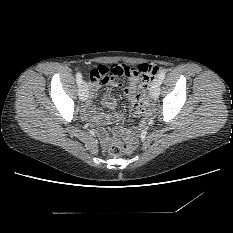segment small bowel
Returning a JSON list of instances; mask_svg holds the SVG:
<instances>
[{"mask_svg":"<svg viewBox=\"0 0 233 233\" xmlns=\"http://www.w3.org/2000/svg\"><path fill=\"white\" fill-rule=\"evenodd\" d=\"M102 66L106 67L110 72V79L105 82L107 88L103 97L102 104L107 109H114L117 106V101L112 96V89L114 87H121L123 85L120 79L121 77L124 76V69L121 64H111V65H102ZM99 85H100L99 82L91 83L89 103L85 107L84 116L88 119L97 122H110V121L118 120L119 118L122 117L123 113L118 112L114 114H105L102 110L97 109L96 105L93 103V100L97 96ZM147 85L148 83L146 82L142 83L138 78L129 77L128 85L123 90L125 95L132 104L133 118L139 117L143 113L147 105V102L142 104L138 100L139 93L145 92ZM141 129L142 127L140 125L135 126L128 131L115 129L111 135H108L103 131H101L100 132L101 141L103 143H111L119 140H124L135 145Z\"/></svg>","mask_w":233,"mask_h":233,"instance_id":"obj_1","label":"small bowel"}]
</instances>
